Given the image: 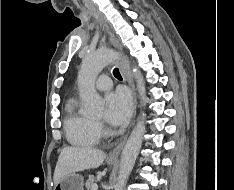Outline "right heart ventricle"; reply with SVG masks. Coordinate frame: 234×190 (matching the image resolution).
Segmentation results:
<instances>
[{
    "label": "right heart ventricle",
    "instance_id": "right-heart-ventricle-1",
    "mask_svg": "<svg viewBox=\"0 0 234 190\" xmlns=\"http://www.w3.org/2000/svg\"><path fill=\"white\" fill-rule=\"evenodd\" d=\"M64 129L67 140L75 146H95L100 140L96 122L79 109L75 98L69 99L65 105Z\"/></svg>",
    "mask_w": 234,
    "mask_h": 190
}]
</instances>
